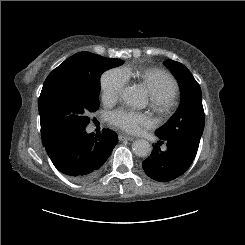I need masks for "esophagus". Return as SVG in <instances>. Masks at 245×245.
Wrapping results in <instances>:
<instances>
[{"label":"esophagus","instance_id":"obj_1","mask_svg":"<svg viewBox=\"0 0 245 245\" xmlns=\"http://www.w3.org/2000/svg\"><path fill=\"white\" fill-rule=\"evenodd\" d=\"M118 138H119L120 141H125V140L132 141V140H134V137L128 136V135H124V134H120L118 136Z\"/></svg>","mask_w":245,"mask_h":245}]
</instances>
